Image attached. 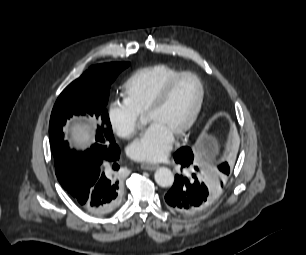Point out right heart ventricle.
Listing matches in <instances>:
<instances>
[{"label": "right heart ventricle", "mask_w": 306, "mask_h": 255, "mask_svg": "<svg viewBox=\"0 0 306 255\" xmlns=\"http://www.w3.org/2000/svg\"><path fill=\"white\" fill-rule=\"evenodd\" d=\"M180 72L182 71L166 64L138 69L124 84V101L140 115L145 114L159 91Z\"/></svg>", "instance_id": "obj_1"}]
</instances>
